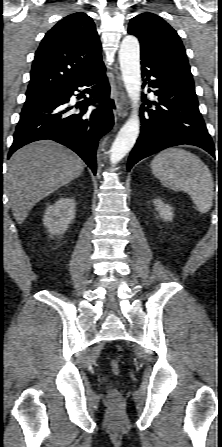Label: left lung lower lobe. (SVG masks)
<instances>
[{
	"instance_id": "0a47b994",
	"label": "left lung lower lobe",
	"mask_w": 222,
	"mask_h": 447,
	"mask_svg": "<svg viewBox=\"0 0 222 447\" xmlns=\"http://www.w3.org/2000/svg\"><path fill=\"white\" fill-rule=\"evenodd\" d=\"M142 77L157 96L156 109L141 107V134L128 159V171L141 159L165 148L189 144L215 156L213 141L206 129L194 84L159 60L141 53ZM149 92L151 89L148 90Z\"/></svg>"
}]
</instances>
